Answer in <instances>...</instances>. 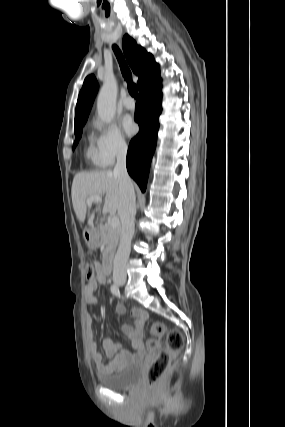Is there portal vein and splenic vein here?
<instances>
[{"mask_svg":"<svg viewBox=\"0 0 285 427\" xmlns=\"http://www.w3.org/2000/svg\"><path fill=\"white\" fill-rule=\"evenodd\" d=\"M93 202H102V198L99 196H90L86 203L88 206H91ZM107 223L111 226V227H117L119 226V219L115 216V213H110L108 218H107Z\"/></svg>","mask_w":285,"mask_h":427,"instance_id":"18ae733b","label":"portal vein and splenic vein"}]
</instances>
